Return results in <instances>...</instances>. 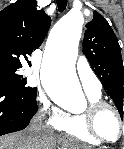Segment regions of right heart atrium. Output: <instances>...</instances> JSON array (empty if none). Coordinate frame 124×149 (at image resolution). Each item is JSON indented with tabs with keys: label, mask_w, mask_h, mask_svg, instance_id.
Wrapping results in <instances>:
<instances>
[{
	"label": "right heart atrium",
	"mask_w": 124,
	"mask_h": 149,
	"mask_svg": "<svg viewBox=\"0 0 124 149\" xmlns=\"http://www.w3.org/2000/svg\"><path fill=\"white\" fill-rule=\"evenodd\" d=\"M39 113L42 116H47V124L58 130L64 125L67 117V113L64 110L46 97H41L40 99Z\"/></svg>",
	"instance_id": "right-heart-atrium-1"
}]
</instances>
